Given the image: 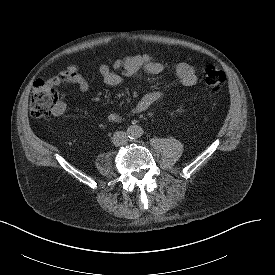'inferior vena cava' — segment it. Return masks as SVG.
Masks as SVG:
<instances>
[{
	"label": "inferior vena cava",
	"mask_w": 275,
	"mask_h": 275,
	"mask_svg": "<svg viewBox=\"0 0 275 275\" xmlns=\"http://www.w3.org/2000/svg\"><path fill=\"white\" fill-rule=\"evenodd\" d=\"M128 141L127 135L123 131H117L114 133L112 142L115 146H121L126 144Z\"/></svg>",
	"instance_id": "obj_1"
}]
</instances>
